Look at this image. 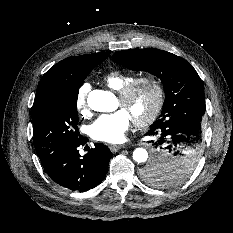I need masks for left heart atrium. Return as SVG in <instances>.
Wrapping results in <instances>:
<instances>
[{
  "instance_id": "39dd6f15",
  "label": "left heart atrium",
  "mask_w": 233,
  "mask_h": 233,
  "mask_svg": "<svg viewBox=\"0 0 233 233\" xmlns=\"http://www.w3.org/2000/svg\"><path fill=\"white\" fill-rule=\"evenodd\" d=\"M131 125L129 114L120 109L114 113L99 116L89 127L90 136L98 141L119 143L125 139Z\"/></svg>"
}]
</instances>
